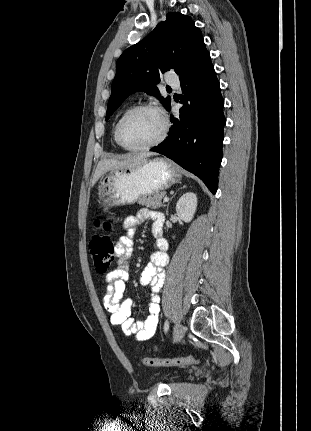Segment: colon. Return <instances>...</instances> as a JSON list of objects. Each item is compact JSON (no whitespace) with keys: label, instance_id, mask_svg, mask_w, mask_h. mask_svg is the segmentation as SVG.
<instances>
[{"label":"colon","instance_id":"obj_1","mask_svg":"<svg viewBox=\"0 0 311 431\" xmlns=\"http://www.w3.org/2000/svg\"><path fill=\"white\" fill-rule=\"evenodd\" d=\"M97 232L91 237L89 248L94 267L98 273L109 270L115 255V247L109 235L111 222L108 219H96ZM141 362L146 366H187L199 363V359L193 356L179 358H148L144 357Z\"/></svg>","mask_w":311,"mask_h":431}]
</instances>
